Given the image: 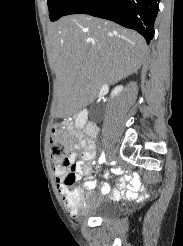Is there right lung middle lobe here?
I'll return each instance as SVG.
<instances>
[{
  "instance_id": "right-lung-middle-lobe-1",
  "label": "right lung middle lobe",
  "mask_w": 183,
  "mask_h": 246,
  "mask_svg": "<svg viewBox=\"0 0 183 246\" xmlns=\"http://www.w3.org/2000/svg\"><path fill=\"white\" fill-rule=\"evenodd\" d=\"M76 0H47L50 20L56 21L64 16Z\"/></svg>"
}]
</instances>
